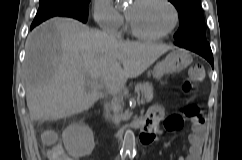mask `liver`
<instances>
[{
    "label": "liver",
    "instance_id": "6515ba94",
    "mask_svg": "<svg viewBox=\"0 0 242 160\" xmlns=\"http://www.w3.org/2000/svg\"><path fill=\"white\" fill-rule=\"evenodd\" d=\"M174 46L120 41L70 18L51 19L26 40L24 79L30 118L57 120L88 110L99 99L86 80L118 92Z\"/></svg>",
    "mask_w": 242,
    "mask_h": 160
}]
</instances>
